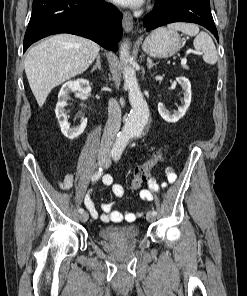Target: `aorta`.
<instances>
[{
  "instance_id": "obj_1",
  "label": "aorta",
  "mask_w": 247,
  "mask_h": 296,
  "mask_svg": "<svg viewBox=\"0 0 247 296\" xmlns=\"http://www.w3.org/2000/svg\"><path fill=\"white\" fill-rule=\"evenodd\" d=\"M129 49L128 42H124L120 49V60L124 64V86L128 90L129 102L132 107L123 130L118 134L115 141V148L122 150L126 147L130 138L142 134L149 119L148 105L140 90L135 71L128 65L130 59Z\"/></svg>"
}]
</instances>
